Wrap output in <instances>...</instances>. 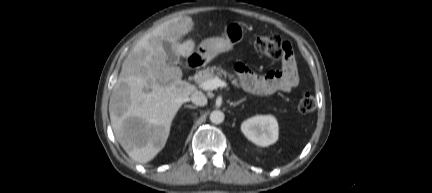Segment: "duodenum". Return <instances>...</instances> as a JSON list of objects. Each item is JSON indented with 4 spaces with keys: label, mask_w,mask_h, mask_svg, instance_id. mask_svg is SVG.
<instances>
[{
    "label": "duodenum",
    "mask_w": 432,
    "mask_h": 193,
    "mask_svg": "<svg viewBox=\"0 0 432 193\" xmlns=\"http://www.w3.org/2000/svg\"><path fill=\"white\" fill-rule=\"evenodd\" d=\"M189 63H190V65L192 66V67H195V68H197L198 70L200 69V66H201V60H200V58L198 57V56H192L190 59H189ZM197 70V71H198Z\"/></svg>",
    "instance_id": "duodenum-1"
}]
</instances>
